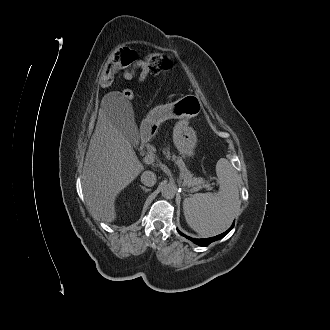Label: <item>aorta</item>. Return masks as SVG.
Instances as JSON below:
<instances>
[{
  "mask_svg": "<svg viewBox=\"0 0 330 330\" xmlns=\"http://www.w3.org/2000/svg\"><path fill=\"white\" fill-rule=\"evenodd\" d=\"M177 192V187L171 183L164 184L161 188V194L166 199L174 198Z\"/></svg>",
  "mask_w": 330,
  "mask_h": 330,
  "instance_id": "762f6f07",
  "label": "aorta"
}]
</instances>
